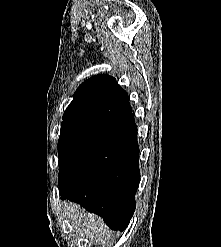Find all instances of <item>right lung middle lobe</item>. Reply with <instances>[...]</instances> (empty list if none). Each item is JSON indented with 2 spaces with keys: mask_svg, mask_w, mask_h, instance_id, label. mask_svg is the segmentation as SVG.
<instances>
[{
  "mask_svg": "<svg viewBox=\"0 0 221 247\" xmlns=\"http://www.w3.org/2000/svg\"><path fill=\"white\" fill-rule=\"evenodd\" d=\"M84 129L82 128H64L61 129L58 141L59 157L64 151L65 147Z\"/></svg>",
  "mask_w": 221,
  "mask_h": 247,
  "instance_id": "obj_1",
  "label": "right lung middle lobe"
}]
</instances>
